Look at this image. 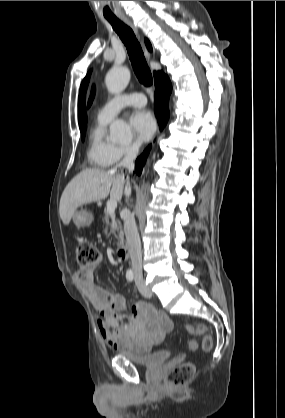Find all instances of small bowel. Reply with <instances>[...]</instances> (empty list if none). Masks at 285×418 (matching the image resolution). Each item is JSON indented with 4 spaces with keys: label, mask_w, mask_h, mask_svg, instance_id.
<instances>
[{
    "label": "small bowel",
    "mask_w": 285,
    "mask_h": 418,
    "mask_svg": "<svg viewBox=\"0 0 285 418\" xmlns=\"http://www.w3.org/2000/svg\"><path fill=\"white\" fill-rule=\"evenodd\" d=\"M104 259L99 256L92 264L82 266L75 273V279L81 285L93 305L95 319L102 338L114 349L128 347L134 350L153 349L173 328L171 319L155 306L139 302L127 314V305L116 290L99 286L94 274ZM196 341L188 342V349L195 351Z\"/></svg>",
    "instance_id": "obj_1"
}]
</instances>
